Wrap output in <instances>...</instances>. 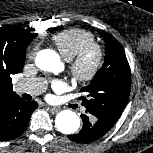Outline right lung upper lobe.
<instances>
[{"mask_svg":"<svg viewBox=\"0 0 153 153\" xmlns=\"http://www.w3.org/2000/svg\"><path fill=\"white\" fill-rule=\"evenodd\" d=\"M36 36L10 25L0 29V104L18 96L13 92L11 76L22 71L26 48Z\"/></svg>","mask_w":153,"mask_h":153,"instance_id":"right-lung-upper-lobe-1","label":"right lung upper lobe"}]
</instances>
